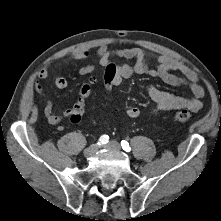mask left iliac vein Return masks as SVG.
Listing matches in <instances>:
<instances>
[{
    "instance_id": "left-iliac-vein-1",
    "label": "left iliac vein",
    "mask_w": 221,
    "mask_h": 221,
    "mask_svg": "<svg viewBox=\"0 0 221 221\" xmlns=\"http://www.w3.org/2000/svg\"><path fill=\"white\" fill-rule=\"evenodd\" d=\"M103 148L119 152L121 150V146L118 142L116 141H110L108 144L104 145Z\"/></svg>"
}]
</instances>
